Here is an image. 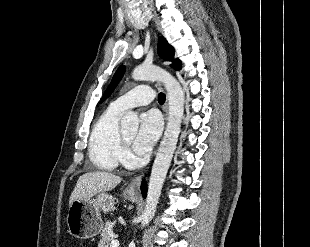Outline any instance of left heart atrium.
I'll list each match as a JSON object with an SVG mask.
<instances>
[{"label":"left heart atrium","instance_id":"39dd6f15","mask_svg":"<svg viewBox=\"0 0 310 247\" xmlns=\"http://www.w3.org/2000/svg\"><path fill=\"white\" fill-rule=\"evenodd\" d=\"M162 130V123L155 111L143 113L140 125L134 138L133 149L138 155L147 154L155 145Z\"/></svg>","mask_w":310,"mask_h":247}]
</instances>
